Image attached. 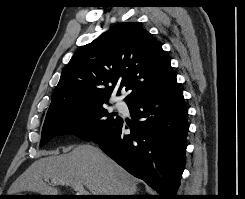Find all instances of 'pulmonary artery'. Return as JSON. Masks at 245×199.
I'll return each instance as SVG.
<instances>
[{
    "mask_svg": "<svg viewBox=\"0 0 245 199\" xmlns=\"http://www.w3.org/2000/svg\"><path fill=\"white\" fill-rule=\"evenodd\" d=\"M115 106L120 109V108L123 107V104H122V102L117 101L116 104H115Z\"/></svg>",
    "mask_w": 245,
    "mask_h": 199,
    "instance_id": "pulmonary-artery-1",
    "label": "pulmonary artery"
}]
</instances>
